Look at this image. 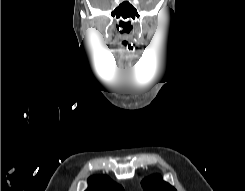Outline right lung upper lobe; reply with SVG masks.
<instances>
[{"mask_svg": "<svg viewBox=\"0 0 245 191\" xmlns=\"http://www.w3.org/2000/svg\"><path fill=\"white\" fill-rule=\"evenodd\" d=\"M86 191H123V189L108 176L97 175L89 178Z\"/></svg>", "mask_w": 245, "mask_h": 191, "instance_id": "right-lung-upper-lobe-1", "label": "right lung upper lobe"}]
</instances>
